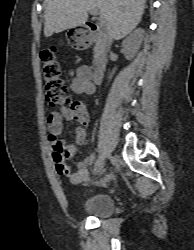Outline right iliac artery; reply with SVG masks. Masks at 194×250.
Returning a JSON list of instances; mask_svg holds the SVG:
<instances>
[{
  "instance_id": "obj_1",
  "label": "right iliac artery",
  "mask_w": 194,
  "mask_h": 250,
  "mask_svg": "<svg viewBox=\"0 0 194 250\" xmlns=\"http://www.w3.org/2000/svg\"><path fill=\"white\" fill-rule=\"evenodd\" d=\"M102 154L99 155L98 159L101 157ZM98 159L96 160L95 166L98 163Z\"/></svg>"
}]
</instances>
